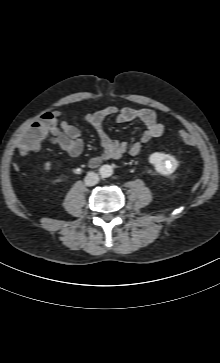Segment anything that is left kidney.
I'll list each match as a JSON object with an SVG mask.
<instances>
[{"instance_id":"5707ae66","label":"left kidney","mask_w":220,"mask_h":363,"mask_svg":"<svg viewBox=\"0 0 220 363\" xmlns=\"http://www.w3.org/2000/svg\"><path fill=\"white\" fill-rule=\"evenodd\" d=\"M149 161L153 164L156 171L163 175L173 173L178 166V163L174 158L161 152L151 154Z\"/></svg>"}]
</instances>
